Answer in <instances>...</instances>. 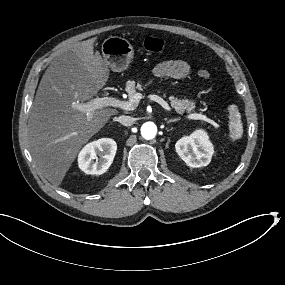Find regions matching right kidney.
I'll list each match as a JSON object with an SVG mask.
<instances>
[{"instance_id":"obj_1","label":"right kidney","mask_w":285,"mask_h":285,"mask_svg":"<svg viewBox=\"0 0 285 285\" xmlns=\"http://www.w3.org/2000/svg\"><path fill=\"white\" fill-rule=\"evenodd\" d=\"M116 150V142L108 138L88 144L79 154V167L88 175H102L112 164Z\"/></svg>"}]
</instances>
